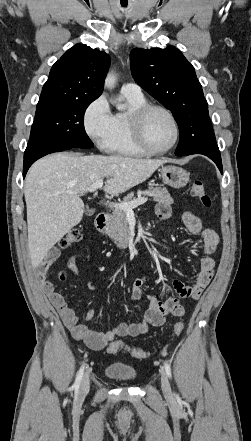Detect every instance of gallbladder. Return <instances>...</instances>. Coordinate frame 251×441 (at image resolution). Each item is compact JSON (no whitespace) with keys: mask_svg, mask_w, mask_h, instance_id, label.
<instances>
[{"mask_svg":"<svg viewBox=\"0 0 251 441\" xmlns=\"http://www.w3.org/2000/svg\"><path fill=\"white\" fill-rule=\"evenodd\" d=\"M93 213H94V210H88V211H87V214H88V215H92Z\"/></svg>","mask_w":251,"mask_h":441,"instance_id":"obj_1","label":"gallbladder"}]
</instances>
